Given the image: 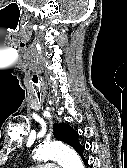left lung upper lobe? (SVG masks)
<instances>
[{
    "label": "left lung upper lobe",
    "mask_w": 127,
    "mask_h": 168,
    "mask_svg": "<svg viewBox=\"0 0 127 168\" xmlns=\"http://www.w3.org/2000/svg\"><path fill=\"white\" fill-rule=\"evenodd\" d=\"M54 137L73 146L76 150L79 148L78 133L68 124L59 123L53 125Z\"/></svg>",
    "instance_id": "obj_1"
}]
</instances>
